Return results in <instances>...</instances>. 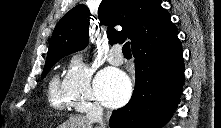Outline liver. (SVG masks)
<instances>
[{
    "instance_id": "obj_1",
    "label": "liver",
    "mask_w": 221,
    "mask_h": 128,
    "mask_svg": "<svg viewBox=\"0 0 221 128\" xmlns=\"http://www.w3.org/2000/svg\"><path fill=\"white\" fill-rule=\"evenodd\" d=\"M59 128H93V122L89 121L85 116L74 115L61 124Z\"/></svg>"
}]
</instances>
